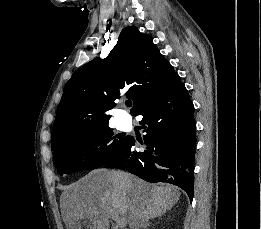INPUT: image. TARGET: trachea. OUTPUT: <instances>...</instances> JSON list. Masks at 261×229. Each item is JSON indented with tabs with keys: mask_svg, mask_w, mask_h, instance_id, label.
<instances>
[{
	"mask_svg": "<svg viewBox=\"0 0 261 229\" xmlns=\"http://www.w3.org/2000/svg\"><path fill=\"white\" fill-rule=\"evenodd\" d=\"M125 104L127 105V107H131L132 106L131 100H126Z\"/></svg>",
	"mask_w": 261,
	"mask_h": 229,
	"instance_id": "1",
	"label": "trachea"
}]
</instances>
